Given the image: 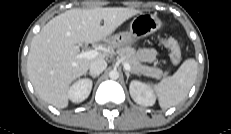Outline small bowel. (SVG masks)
I'll return each mask as SVG.
<instances>
[{
	"label": "small bowel",
	"instance_id": "1",
	"mask_svg": "<svg viewBox=\"0 0 231 134\" xmlns=\"http://www.w3.org/2000/svg\"><path fill=\"white\" fill-rule=\"evenodd\" d=\"M158 53L153 48H143L138 52V58L145 63H152L157 59Z\"/></svg>",
	"mask_w": 231,
	"mask_h": 134
}]
</instances>
